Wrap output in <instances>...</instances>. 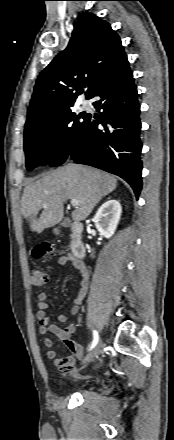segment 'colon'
Here are the masks:
<instances>
[{
    "instance_id": "5ec220e1",
    "label": "colon",
    "mask_w": 174,
    "mask_h": 440,
    "mask_svg": "<svg viewBox=\"0 0 174 440\" xmlns=\"http://www.w3.org/2000/svg\"><path fill=\"white\" fill-rule=\"evenodd\" d=\"M55 247L50 243H42L34 248L33 256L42 259L55 254ZM47 274L41 269H33L31 271V284L34 287H41L47 282Z\"/></svg>"
}]
</instances>
